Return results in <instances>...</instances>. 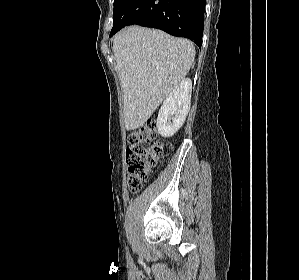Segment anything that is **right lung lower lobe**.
<instances>
[{
    "label": "right lung lower lobe",
    "mask_w": 299,
    "mask_h": 280,
    "mask_svg": "<svg viewBox=\"0 0 299 280\" xmlns=\"http://www.w3.org/2000/svg\"><path fill=\"white\" fill-rule=\"evenodd\" d=\"M205 0H124L113 19L112 37L127 25L161 29L201 48Z\"/></svg>",
    "instance_id": "1"
}]
</instances>
